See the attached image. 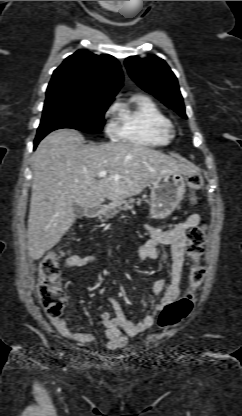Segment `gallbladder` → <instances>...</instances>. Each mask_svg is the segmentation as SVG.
Segmentation results:
<instances>
[{
    "label": "gallbladder",
    "mask_w": 242,
    "mask_h": 416,
    "mask_svg": "<svg viewBox=\"0 0 242 416\" xmlns=\"http://www.w3.org/2000/svg\"><path fill=\"white\" fill-rule=\"evenodd\" d=\"M73 212L76 218H82L84 216V207L77 203H73Z\"/></svg>",
    "instance_id": "bac80fb5"
}]
</instances>
